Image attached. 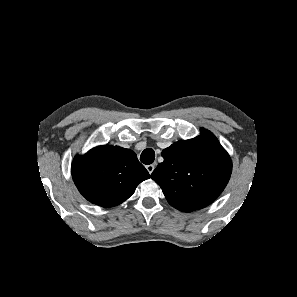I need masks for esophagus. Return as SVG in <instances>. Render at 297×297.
Returning <instances> with one entry per match:
<instances>
[{
	"label": "esophagus",
	"mask_w": 297,
	"mask_h": 297,
	"mask_svg": "<svg viewBox=\"0 0 297 297\" xmlns=\"http://www.w3.org/2000/svg\"><path fill=\"white\" fill-rule=\"evenodd\" d=\"M155 166L153 164L147 165L146 169L151 174L154 171Z\"/></svg>",
	"instance_id": "obj_1"
}]
</instances>
